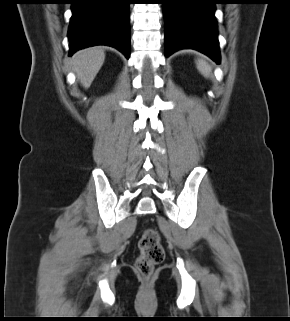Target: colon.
Here are the masks:
<instances>
[{"label":"colon","instance_id":"5ec220e1","mask_svg":"<svg viewBox=\"0 0 290 321\" xmlns=\"http://www.w3.org/2000/svg\"><path fill=\"white\" fill-rule=\"evenodd\" d=\"M140 254L136 260V270L143 277H150L156 265L165 257L159 233L154 229H147L139 240Z\"/></svg>","mask_w":290,"mask_h":321}]
</instances>
